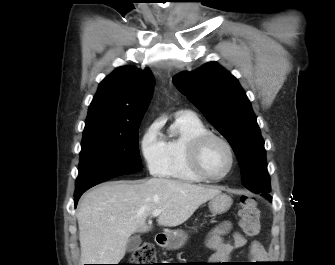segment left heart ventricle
I'll return each mask as SVG.
<instances>
[{
  "instance_id": "obj_1",
  "label": "left heart ventricle",
  "mask_w": 335,
  "mask_h": 265,
  "mask_svg": "<svg viewBox=\"0 0 335 265\" xmlns=\"http://www.w3.org/2000/svg\"><path fill=\"white\" fill-rule=\"evenodd\" d=\"M201 163L209 175L220 176L229 166V152L221 142L212 140L203 149Z\"/></svg>"
}]
</instances>
